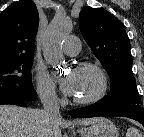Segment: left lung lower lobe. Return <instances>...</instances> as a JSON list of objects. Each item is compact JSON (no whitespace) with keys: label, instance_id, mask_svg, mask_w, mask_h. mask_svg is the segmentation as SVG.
Returning <instances> with one entry per match:
<instances>
[{"label":"left lung lower lobe","instance_id":"0a47b994","mask_svg":"<svg viewBox=\"0 0 144 137\" xmlns=\"http://www.w3.org/2000/svg\"><path fill=\"white\" fill-rule=\"evenodd\" d=\"M70 115L74 118L123 116L132 118L144 126V108L137 104L119 103L107 105L100 100L90 106L71 110Z\"/></svg>","mask_w":144,"mask_h":137}]
</instances>
